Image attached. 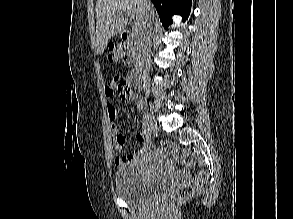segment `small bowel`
Masks as SVG:
<instances>
[{"label":"small bowel","mask_w":293,"mask_h":219,"mask_svg":"<svg viewBox=\"0 0 293 219\" xmlns=\"http://www.w3.org/2000/svg\"><path fill=\"white\" fill-rule=\"evenodd\" d=\"M113 88L112 86L108 83L105 85V95L108 98V102H107V110H108V114L109 117L111 119L112 122V128H113V134H114V146L115 149L118 152H121L127 141L128 138L126 135L119 133L118 132V123H117V113H116V108L113 104V102L110 100L113 96ZM130 100L133 101L138 109H143L144 107V101L143 98L137 94V93H132L130 96ZM135 139L138 142L144 143V145L137 151L133 152V153H129L126 155H122V156H117L115 159V164L117 167H121L127 164H133L136 163L139 159L140 156H142L143 154H145L147 152V150L149 149V142L147 141L146 137L144 136L143 133L139 132L135 135Z\"/></svg>","instance_id":"c3829d8e"}]
</instances>
